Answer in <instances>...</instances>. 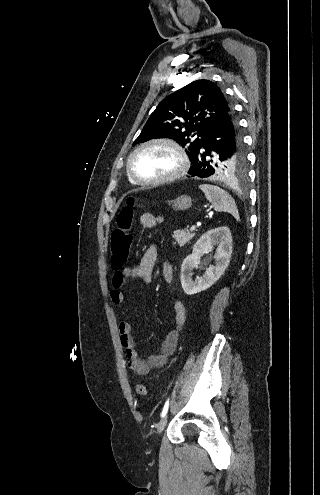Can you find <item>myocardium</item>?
Returning a JSON list of instances; mask_svg holds the SVG:
<instances>
[{"label":"myocardium","instance_id":"1","mask_svg":"<svg viewBox=\"0 0 320 495\" xmlns=\"http://www.w3.org/2000/svg\"><path fill=\"white\" fill-rule=\"evenodd\" d=\"M153 145H165L170 147L177 155L178 167L173 173L161 178L150 179V180L141 179L138 176H136V174L133 171L132 168L133 159L139 151ZM188 164L189 163H188L187 154L183 149V147L178 142L170 138L158 137L141 143L129 154L126 164V170L129 178L134 183L142 186H158V185L169 184L180 179L186 173L188 169Z\"/></svg>","mask_w":320,"mask_h":495}]
</instances>
